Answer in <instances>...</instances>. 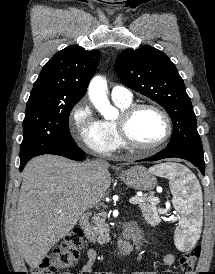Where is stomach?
I'll list each match as a JSON object with an SVG mask.
<instances>
[{"label":"stomach","mask_w":215,"mask_h":274,"mask_svg":"<svg viewBox=\"0 0 215 274\" xmlns=\"http://www.w3.org/2000/svg\"><path fill=\"white\" fill-rule=\"evenodd\" d=\"M120 178L129 187L140 191L152 190L157 185L154 174L144 166L139 165L122 171Z\"/></svg>","instance_id":"obj_1"}]
</instances>
